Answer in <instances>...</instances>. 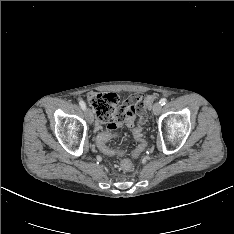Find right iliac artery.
Returning <instances> with one entry per match:
<instances>
[{
    "instance_id": "1",
    "label": "right iliac artery",
    "mask_w": 234,
    "mask_h": 234,
    "mask_svg": "<svg viewBox=\"0 0 234 234\" xmlns=\"http://www.w3.org/2000/svg\"><path fill=\"white\" fill-rule=\"evenodd\" d=\"M79 105H80V107H81L83 110L86 109V105H85L84 101L81 100V101L79 102Z\"/></svg>"
}]
</instances>
